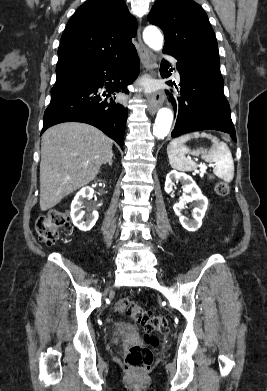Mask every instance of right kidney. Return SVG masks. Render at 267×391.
I'll return each instance as SVG.
<instances>
[{"mask_svg":"<svg viewBox=\"0 0 267 391\" xmlns=\"http://www.w3.org/2000/svg\"><path fill=\"white\" fill-rule=\"evenodd\" d=\"M93 193V189L89 186H86L76 194L74 200L71 203V218L73 224L78 227L79 230L84 232L91 230L98 219V212L94 210L86 221L83 220V216L85 214V212L82 210L84 207V199L91 197Z\"/></svg>","mask_w":267,"mask_h":391,"instance_id":"right-kidney-1","label":"right kidney"}]
</instances>
